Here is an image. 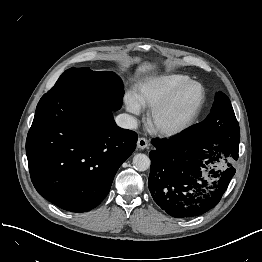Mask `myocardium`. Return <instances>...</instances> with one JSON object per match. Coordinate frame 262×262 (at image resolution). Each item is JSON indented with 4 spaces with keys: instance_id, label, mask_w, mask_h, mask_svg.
<instances>
[{
    "instance_id": "myocardium-1",
    "label": "myocardium",
    "mask_w": 262,
    "mask_h": 262,
    "mask_svg": "<svg viewBox=\"0 0 262 262\" xmlns=\"http://www.w3.org/2000/svg\"><path fill=\"white\" fill-rule=\"evenodd\" d=\"M193 84L198 85L201 88L202 94L201 99L191 116L184 122L177 125L165 126L160 124L158 121L159 115L176 100V98L182 92V90H184L187 86ZM205 101L206 91L203 84H201L199 81L189 79L177 86L174 90H172L168 95H166L161 101H159L151 108L148 114V123L150 124L152 129L159 135L174 136L181 134L187 129H189L196 122L199 115L201 114Z\"/></svg>"
}]
</instances>
